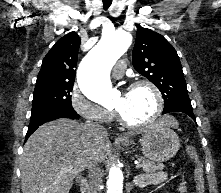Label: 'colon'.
<instances>
[{
  "label": "colon",
  "mask_w": 221,
  "mask_h": 193,
  "mask_svg": "<svg viewBox=\"0 0 221 193\" xmlns=\"http://www.w3.org/2000/svg\"><path fill=\"white\" fill-rule=\"evenodd\" d=\"M187 153L194 163V181L196 193L204 192V166L194 146L187 147Z\"/></svg>",
  "instance_id": "5ec220e1"
}]
</instances>
